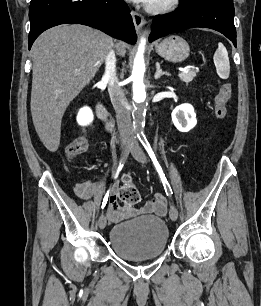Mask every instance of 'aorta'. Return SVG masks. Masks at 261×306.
I'll list each match as a JSON object with an SVG mask.
<instances>
[{"label":"aorta","instance_id":"aorta-1","mask_svg":"<svg viewBox=\"0 0 261 306\" xmlns=\"http://www.w3.org/2000/svg\"><path fill=\"white\" fill-rule=\"evenodd\" d=\"M146 39L141 38L140 44L136 57L134 59L133 70H132V81H133V101L136 106L134 113L135 119L139 120L142 117L143 110L145 107L146 92L145 85L143 82L145 63H144V51H145Z\"/></svg>","mask_w":261,"mask_h":306}]
</instances>
